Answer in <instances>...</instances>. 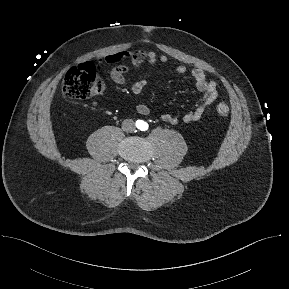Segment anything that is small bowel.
Returning a JSON list of instances; mask_svg holds the SVG:
<instances>
[{
	"label": "small bowel",
	"mask_w": 289,
	"mask_h": 289,
	"mask_svg": "<svg viewBox=\"0 0 289 289\" xmlns=\"http://www.w3.org/2000/svg\"><path fill=\"white\" fill-rule=\"evenodd\" d=\"M122 60H128L130 65H116L110 72L112 81L120 85L126 83V76L133 68H137L145 62L151 66H155L158 63L165 64L167 57L151 50L121 51L105 56L98 61V64L114 65ZM174 71L179 74H185L187 68L184 65H176ZM190 75L195 82L197 90L202 93V96L193 108L183 115L182 121L186 124L199 121L208 107L219 96L217 83L214 80L208 79L203 70L194 68L190 71ZM146 85L147 82L145 80H139L132 85L131 90L133 94L138 95L145 89ZM136 111L141 115H148L150 108L145 104H139L136 107ZM160 117L164 122L172 125H176L180 121L177 116L167 112L162 113Z\"/></svg>",
	"instance_id": "obj_1"
}]
</instances>
